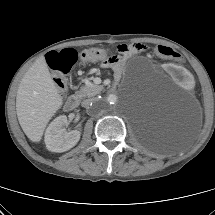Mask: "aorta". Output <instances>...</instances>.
<instances>
[{
  "instance_id": "1",
  "label": "aorta",
  "mask_w": 215,
  "mask_h": 215,
  "mask_svg": "<svg viewBox=\"0 0 215 215\" xmlns=\"http://www.w3.org/2000/svg\"><path fill=\"white\" fill-rule=\"evenodd\" d=\"M117 98L115 95H109L108 98L106 99V104L111 105L115 104Z\"/></svg>"
}]
</instances>
